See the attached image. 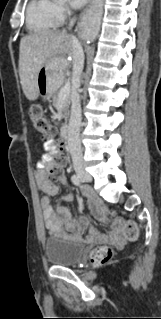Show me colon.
<instances>
[{
  "mask_svg": "<svg viewBox=\"0 0 161 319\" xmlns=\"http://www.w3.org/2000/svg\"><path fill=\"white\" fill-rule=\"evenodd\" d=\"M29 116L34 128L46 137V143L51 147L56 145L54 137L55 127L43 116V108L39 105H33L29 108ZM67 160L63 156L52 157L51 166L48 173L51 178H62L65 174ZM126 234L129 238L137 237L138 231L135 223L129 221L125 224ZM113 257V250L105 245L96 247L91 253V262L95 266L108 264Z\"/></svg>",
  "mask_w": 161,
  "mask_h": 319,
  "instance_id": "5ec220e1",
  "label": "colon"
}]
</instances>
